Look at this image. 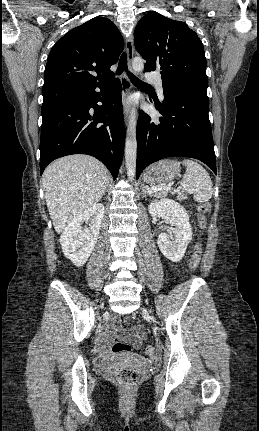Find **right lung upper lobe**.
Wrapping results in <instances>:
<instances>
[{
  "label": "right lung upper lobe",
  "instance_id": "cb5924a9",
  "mask_svg": "<svg viewBox=\"0 0 259 431\" xmlns=\"http://www.w3.org/2000/svg\"><path fill=\"white\" fill-rule=\"evenodd\" d=\"M124 47L112 21L93 18L70 30L52 47L45 67L42 91L96 85L112 79Z\"/></svg>",
  "mask_w": 259,
  "mask_h": 431
}]
</instances>
